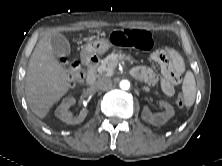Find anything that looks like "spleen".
<instances>
[{
	"mask_svg": "<svg viewBox=\"0 0 222 166\" xmlns=\"http://www.w3.org/2000/svg\"><path fill=\"white\" fill-rule=\"evenodd\" d=\"M183 100L186 107L190 108L196 97V81L194 74L187 71L182 84Z\"/></svg>",
	"mask_w": 222,
	"mask_h": 166,
	"instance_id": "1",
	"label": "spleen"
}]
</instances>
